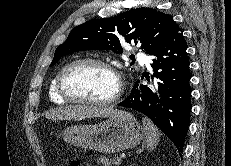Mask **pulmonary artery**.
Masks as SVG:
<instances>
[{
	"label": "pulmonary artery",
	"instance_id": "obj_1",
	"mask_svg": "<svg viewBox=\"0 0 231 166\" xmlns=\"http://www.w3.org/2000/svg\"><path fill=\"white\" fill-rule=\"evenodd\" d=\"M137 58L143 63V64H148L149 60L143 53H138Z\"/></svg>",
	"mask_w": 231,
	"mask_h": 166
}]
</instances>
